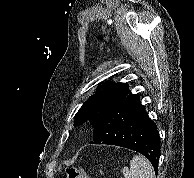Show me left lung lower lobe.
<instances>
[{
  "label": "left lung lower lobe",
  "mask_w": 194,
  "mask_h": 178,
  "mask_svg": "<svg viewBox=\"0 0 194 178\" xmlns=\"http://www.w3.org/2000/svg\"><path fill=\"white\" fill-rule=\"evenodd\" d=\"M90 144H110L143 154L158 173L160 139L157 126L149 118L139 97L122 100L94 127Z\"/></svg>",
  "instance_id": "obj_1"
}]
</instances>
